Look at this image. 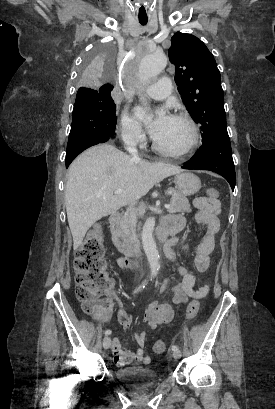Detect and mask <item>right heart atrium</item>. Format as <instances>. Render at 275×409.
I'll list each match as a JSON object with an SVG mask.
<instances>
[{
  "instance_id": "1",
  "label": "right heart atrium",
  "mask_w": 275,
  "mask_h": 409,
  "mask_svg": "<svg viewBox=\"0 0 275 409\" xmlns=\"http://www.w3.org/2000/svg\"><path fill=\"white\" fill-rule=\"evenodd\" d=\"M120 137L128 145L138 146L144 138V129L138 119L124 110L120 116Z\"/></svg>"
}]
</instances>
